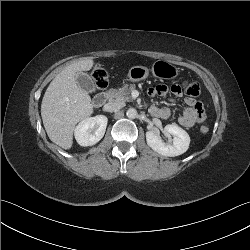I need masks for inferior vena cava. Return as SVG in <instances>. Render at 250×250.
Returning a JSON list of instances; mask_svg holds the SVG:
<instances>
[{
    "label": "inferior vena cava",
    "mask_w": 250,
    "mask_h": 250,
    "mask_svg": "<svg viewBox=\"0 0 250 250\" xmlns=\"http://www.w3.org/2000/svg\"><path fill=\"white\" fill-rule=\"evenodd\" d=\"M122 107H124V103L122 102H110L104 106V110L107 112H115Z\"/></svg>",
    "instance_id": "obj_1"
}]
</instances>
